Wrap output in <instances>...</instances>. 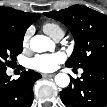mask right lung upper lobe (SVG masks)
I'll use <instances>...</instances> for the list:
<instances>
[{"label":"right lung upper lobe","mask_w":107,"mask_h":107,"mask_svg":"<svg viewBox=\"0 0 107 107\" xmlns=\"http://www.w3.org/2000/svg\"><path fill=\"white\" fill-rule=\"evenodd\" d=\"M39 17L40 14L38 13L23 12L10 7H0V18L25 31Z\"/></svg>","instance_id":"obj_1"}]
</instances>
